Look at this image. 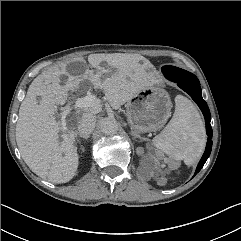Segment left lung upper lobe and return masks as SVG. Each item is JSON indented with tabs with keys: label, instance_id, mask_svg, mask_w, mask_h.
I'll use <instances>...</instances> for the list:
<instances>
[{
	"label": "left lung upper lobe",
	"instance_id": "5c2ea615",
	"mask_svg": "<svg viewBox=\"0 0 241 241\" xmlns=\"http://www.w3.org/2000/svg\"><path fill=\"white\" fill-rule=\"evenodd\" d=\"M162 72L166 77H176L182 80H191L196 77L192 73L174 66H165L162 68Z\"/></svg>",
	"mask_w": 241,
	"mask_h": 241
}]
</instances>
